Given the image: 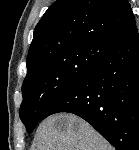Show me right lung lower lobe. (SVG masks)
Masks as SVG:
<instances>
[{
	"label": "right lung lower lobe",
	"instance_id": "obj_1",
	"mask_svg": "<svg viewBox=\"0 0 139 150\" xmlns=\"http://www.w3.org/2000/svg\"><path fill=\"white\" fill-rule=\"evenodd\" d=\"M59 112L83 118L116 150H139V35L136 23L108 47L82 79L48 107L43 119Z\"/></svg>",
	"mask_w": 139,
	"mask_h": 150
}]
</instances>
